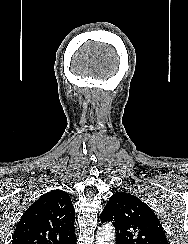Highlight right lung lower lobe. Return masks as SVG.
Wrapping results in <instances>:
<instances>
[{
  "instance_id": "1",
  "label": "right lung lower lobe",
  "mask_w": 188,
  "mask_h": 244,
  "mask_svg": "<svg viewBox=\"0 0 188 244\" xmlns=\"http://www.w3.org/2000/svg\"><path fill=\"white\" fill-rule=\"evenodd\" d=\"M71 244H76V240H75V241H73V242H71Z\"/></svg>"
}]
</instances>
